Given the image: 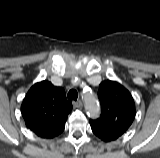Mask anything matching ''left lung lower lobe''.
Returning <instances> with one entry per match:
<instances>
[{
	"mask_svg": "<svg viewBox=\"0 0 160 158\" xmlns=\"http://www.w3.org/2000/svg\"><path fill=\"white\" fill-rule=\"evenodd\" d=\"M91 125V129H92V132L98 137L100 138L101 140L105 141V142H109V141H114L116 140L117 138H119L120 136L114 134V133H111L93 123H90Z\"/></svg>",
	"mask_w": 160,
	"mask_h": 158,
	"instance_id": "0a47b994",
	"label": "left lung lower lobe"
}]
</instances>
